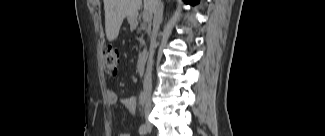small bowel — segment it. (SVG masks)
<instances>
[{
    "instance_id": "small-bowel-1",
    "label": "small bowel",
    "mask_w": 325,
    "mask_h": 136,
    "mask_svg": "<svg viewBox=\"0 0 325 136\" xmlns=\"http://www.w3.org/2000/svg\"><path fill=\"white\" fill-rule=\"evenodd\" d=\"M107 103L110 105L116 104L118 102V96L113 90H108L106 93ZM124 108L131 114H136L138 111V105L135 98H126L121 101ZM126 136V134H122Z\"/></svg>"
}]
</instances>
